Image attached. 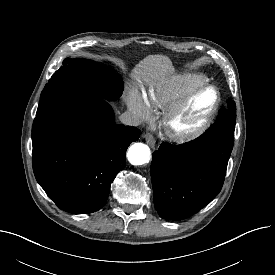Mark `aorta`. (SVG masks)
Returning <instances> with one entry per match:
<instances>
[{"mask_svg": "<svg viewBox=\"0 0 275 275\" xmlns=\"http://www.w3.org/2000/svg\"><path fill=\"white\" fill-rule=\"evenodd\" d=\"M150 157V148L143 143H135L131 145L127 152V158L132 165H143L148 163Z\"/></svg>", "mask_w": 275, "mask_h": 275, "instance_id": "aorta-1", "label": "aorta"}]
</instances>
